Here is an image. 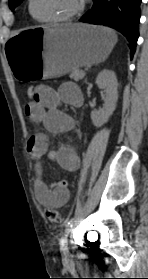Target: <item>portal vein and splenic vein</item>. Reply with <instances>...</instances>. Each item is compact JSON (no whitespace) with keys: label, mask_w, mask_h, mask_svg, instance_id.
<instances>
[{"label":"portal vein and splenic vein","mask_w":148,"mask_h":279,"mask_svg":"<svg viewBox=\"0 0 148 279\" xmlns=\"http://www.w3.org/2000/svg\"><path fill=\"white\" fill-rule=\"evenodd\" d=\"M82 75H85V73H84V72H82Z\"/></svg>","instance_id":"obj_1"}]
</instances>
